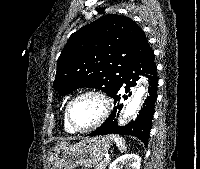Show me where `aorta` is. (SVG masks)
Wrapping results in <instances>:
<instances>
[{"instance_id": "obj_1", "label": "aorta", "mask_w": 200, "mask_h": 169, "mask_svg": "<svg viewBox=\"0 0 200 169\" xmlns=\"http://www.w3.org/2000/svg\"><path fill=\"white\" fill-rule=\"evenodd\" d=\"M145 93H146L145 86L141 85L137 88L133 98L126 105L122 118L119 120V123L121 125H124L127 118L134 115L135 112L140 108L141 100Z\"/></svg>"}]
</instances>
